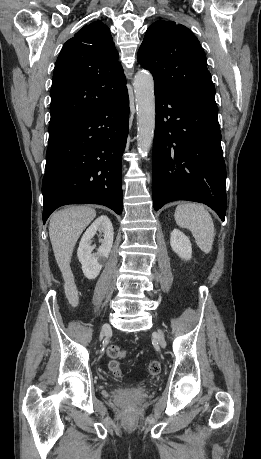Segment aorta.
Instances as JSON below:
<instances>
[{
	"label": "aorta",
	"mask_w": 261,
	"mask_h": 459,
	"mask_svg": "<svg viewBox=\"0 0 261 459\" xmlns=\"http://www.w3.org/2000/svg\"><path fill=\"white\" fill-rule=\"evenodd\" d=\"M137 110V146L141 157L148 155L155 130L154 81L150 72L139 71L134 78Z\"/></svg>",
	"instance_id": "aorta-1"
}]
</instances>
